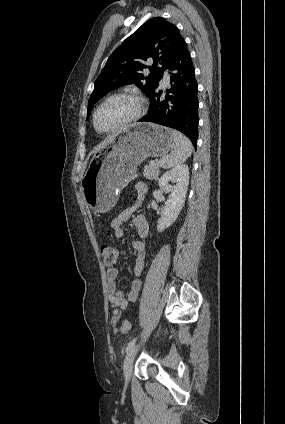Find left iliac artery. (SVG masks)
<instances>
[{
    "mask_svg": "<svg viewBox=\"0 0 285 424\" xmlns=\"http://www.w3.org/2000/svg\"><path fill=\"white\" fill-rule=\"evenodd\" d=\"M136 340H137V338H134L133 340H131L128 343L127 348H126V352H128L135 345Z\"/></svg>",
    "mask_w": 285,
    "mask_h": 424,
    "instance_id": "1",
    "label": "left iliac artery"
}]
</instances>
